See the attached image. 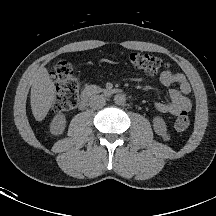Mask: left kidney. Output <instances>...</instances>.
Here are the masks:
<instances>
[{"mask_svg":"<svg viewBox=\"0 0 216 216\" xmlns=\"http://www.w3.org/2000/svg\"><path fill=\"white\" fill-rule=\"evenodd\" d=\"M153 127L156 134L167 137V127L163 118L156 116L153 118Z\"/></svg>","mask_w":216,"mask_h":216,"instance_id":"5707ae66","label":"left kidney"}]
</instances>
